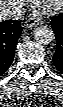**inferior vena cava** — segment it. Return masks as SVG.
<instances>
[{
	"instance_id": "inferior-vena-cava-1",
	"label": "inferior vena cava",
	"mask_w": 63,
	"mask_h": 107,
	"mask_svg": "<svg viewBox=\"0 0 63 107\" xmlns=\"http://www.w3.org/2000/svg\"><path fill=\"white\" fill-rule=\"evenodd\" d=\"M23 3L19 0H2L0 7L1 19H21L23 17Z\"/></svg>"
}]
</instances>
